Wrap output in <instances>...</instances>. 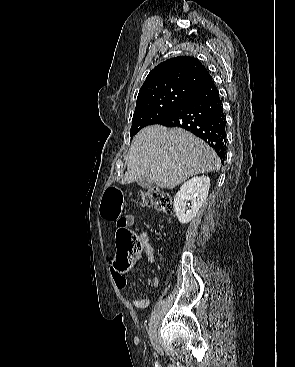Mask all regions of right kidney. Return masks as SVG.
<instances>
[{"mask_svg":"<svg viewBox=\"0 0 295 367\" xmlns=\"http://www.w3.org/2000/svg\"><path fill=\"white\" fill-rule=\"evenodd\" d=\"M209 187L210 179L206 176L194 177L181 186L173 202L176 216L181 224L189 223L196 216L206 200Z\"/></svg>","mask_w":295,"mask_h":367,"instance_id":"1","label":"right kidney"}]
</instances>
